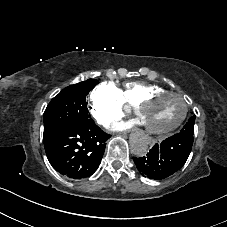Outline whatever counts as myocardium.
<instances>
[{
  "mask_svg": "<svg viewBox=\"0 0 227 227\" xmlns=\"http://www.w3.org/2000/svg\"><path fill=\"white\" fill-rule=\"evenodd\" d=\"M163 95H174V96H177L180 99H182V101L184 102L183 114L175 124H173L171 127L167 128L165 130H146V133L148 135L163 136L165 134L174 132L183 124V122L186 120V118L188 116L189 104H188V101H187V97L183 93L178 92V91L163 90V91H158V92L147 94L135 103V105L133 107V112H134V116H135L136 121L138 120V112H139V110L142 106L148 104L152 100H155V99H157V98H159Z\"/></svg>",
  "mask_w": 227,
  "mask_h": 227,
  "instance_id": "1",
  "label": "myocardium"
}]
</instances>
